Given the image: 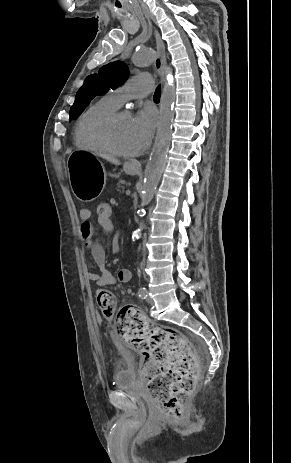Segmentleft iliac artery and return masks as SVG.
<instances>
[{"mask_svg": "<svg viewBox=\"0 0 291 463\" xmlns=\"http://www.w3.org/2000/svg\"><path fill=\"white\" fill-rule=\"evenodd\" d=\"M138 296L141 298V299H146L147 297V290L145 287H142L139 289L138 291Z\"/></svg>", "mask_w": 291, "mask_h": 463, "instance_id": "1", "label": "left iliac artery"}]
</instances>
